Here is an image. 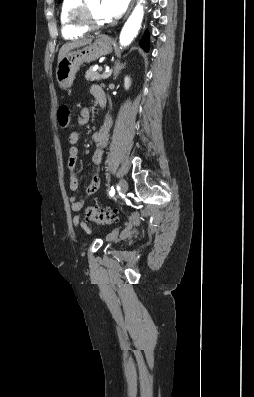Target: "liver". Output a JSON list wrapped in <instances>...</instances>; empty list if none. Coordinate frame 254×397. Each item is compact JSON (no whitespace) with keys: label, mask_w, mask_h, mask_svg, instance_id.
<instances>
[{"label":"liver","mask_w":254,"mask_h":397,"mask_svg":"<svg viewBox=\"0 0 254 397\" xmlns=\"http://www.w3.org/2000/svg\"><path fill=\"white\" fill-rule=\"evenodd\" d=\"M92 42L91 38H82L80 40H76L73 41L71 43H66L64 44L60 51H59V55H58V62L72 49L84 46L86 44H89Z\"/></svg>","instance_id":"6515ba94"}]
</instances>
